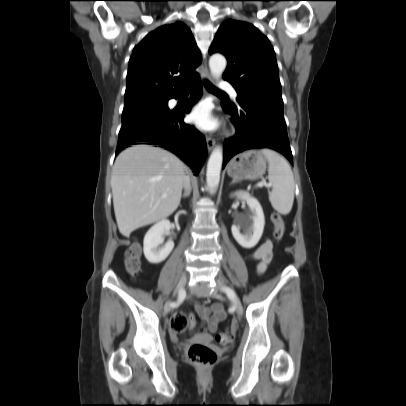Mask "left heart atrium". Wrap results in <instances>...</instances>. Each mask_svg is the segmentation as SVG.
I'll list each match as a JSON object with an SVG mask.
<instances>
[{
  "label": "left heart atrium",
  "mask_w": 406,
  "mask_h": 406,
  "mask_svg": "<svg viewBox=\"0 0 406 406\" xmlns=\"http://www.w3.org/2000/svg\"><path fill=\"white\" fill-rule=\"evenodd\" d=\"M189 119L195 126L204 131H213L218 127V120L212 115L207 103H200L195 106Z\"/></svg>",
  "instance_id": "obj_1"
}]
</instances>
